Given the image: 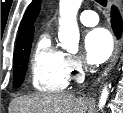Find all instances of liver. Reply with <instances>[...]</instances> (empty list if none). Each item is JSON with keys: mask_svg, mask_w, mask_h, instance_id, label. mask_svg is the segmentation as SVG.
<instances>
[{"mask_svg": "<svg viewBox=\"0 0 123 113\" xmlns=\"http://www.w3.org/2000/svg\"><path fill=\"white\" fill-rule=\"evenodd\" d=\"M88 105L72 93L29 95L13 101V113H86Z\"/></svg>", "mask_w": 123, "mask_h": 113, "instance_id": "liver-1", "label": "liver"}]
</instances>
